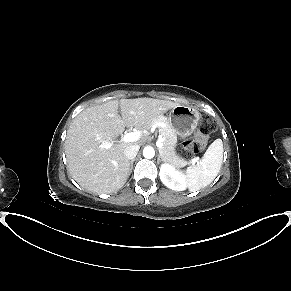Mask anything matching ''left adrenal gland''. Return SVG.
Here are the masks:
<instances>
[{"mask_svg": "<svg viewBox=\"0 0 291 291\" xmlns=\"http://www.w3.org/2000/svg\"><path fill=\"white\" fill-rule=\"evenodd\" d=\"M160 161H164L162 158L160 159V156L158 157V162H160Z\"/></svg>", "mask_w": 291, "mask_h": 291, "instance_id": "left-adrenal-gland-1", "label": "left adrenal gland"}]
</instances>
